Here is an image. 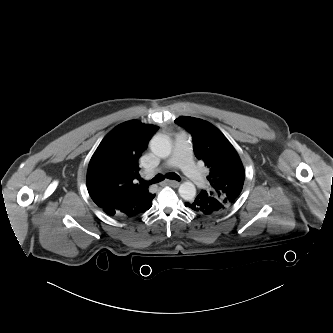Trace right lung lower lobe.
<instances>
[{"instance_id":"1","label":"right lung lower lobe","mask_w":333,"mask_h":333,"mask_svg":"<svg viewBox=\"0 0 333 333\" xmlns=\"http://www.w3.org/2000/svg\"><path fill=\"white\" fill-rule=\"evenodd\" d=\"M103 211L110 216H116L119 218H129V216L123 214L121 211H118L115 208H107L103 209Z\"/></svg>"}]
</instances>
